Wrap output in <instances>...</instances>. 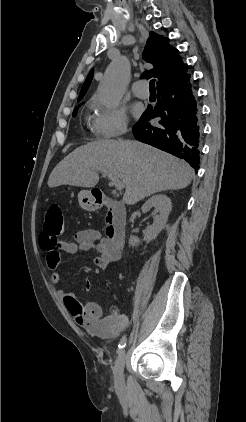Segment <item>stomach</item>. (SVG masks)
<instances>
[{
	"label": "stomach",
	"instance_id": "0dacf381",
	"mask_svg": "<svg viewBox=\"0 0 246 422\" xmlns=\"http://www.w3.org/2000/svg\"><path fill=\"white\" fill-rule=\"evenodd\" d=\"M78 201L79 205L87 211H92L97 208L96 199L91 191L81 190L78 194Z\"/></svg>",
	"mask_w": 246,
	"mask_h": 422
}]
</instances>
